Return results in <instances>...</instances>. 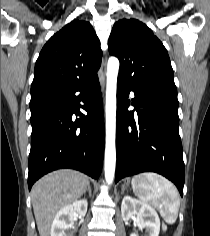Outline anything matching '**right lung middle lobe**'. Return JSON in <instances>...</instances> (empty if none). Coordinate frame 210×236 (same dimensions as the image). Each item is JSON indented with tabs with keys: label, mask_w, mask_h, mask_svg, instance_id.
<instances>
[{
	"label": "right lung middle lobe",
	"mask_w": 210,
	"mask_h": 236,
	"mask_svg": "<svg viewBox=\"0 0 210 236\" xmlns=\"http://www.w3.org/2000/svg\"><path fill=\"white\" fill-rule=\"evenodd\" d=\"M61 93V91L50 88L36 90L35 92L31 93L30 107H33L48 99L57 97L61 95Z\"/></svg>",
	"instance_id": "right-lung-middle-lobe-1"
}]
</instances>
